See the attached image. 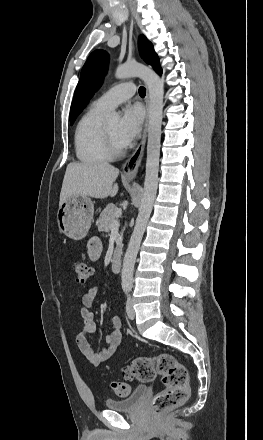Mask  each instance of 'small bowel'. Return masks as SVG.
I'll list each match as a JSON object with an SVG mask.
<instances>
[{"label": "small bowel", "mask_w": 263, "mask_h": 440, "mask_svg": "<svg viewBox=\"0 0 263 440\" xmlns=\"http://www.w3.org/2000/svg\"><path fill=\"white\" fill-rule=\"evenodd\" d=\"M102 253V243L99 238L93 237L87 244V254L91 261H97ZM99 292L97 286L90 287L80 297V314L83 319V327L76 336V345L82 355L92 364L99 365L109 359L118 349L122 342V333L120 330L121 321L117 315L110 318L112 328L107 332L106 344L99 351H95L90 340L96 330L94 315L91 306Z\"/></svg>", "instance_id": "1"}]
</instances>
